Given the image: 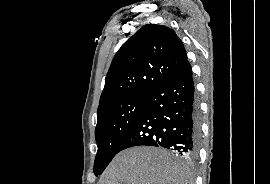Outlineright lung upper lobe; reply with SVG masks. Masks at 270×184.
<instances>
[{
  "label": "right lung upper lobe",
  "mask_w": 270,
  "mask_h": 184,
  "mask_svg": "<svg viewBox=\"0 0 270 184\" xmlns=\"http://www.w3.org/2000/svg\"><path fill=\"white\" fill-rule=\"evenodd\" d=\"M187 61L184 45L173 29L157 24L143 26L116 53L98 114L108 104L149 95Z\"/></svg>",
  "instance_id": "cb5924a9"
}]
</instances>
